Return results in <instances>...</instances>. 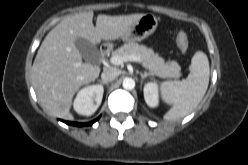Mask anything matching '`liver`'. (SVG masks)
Returning <instances> with one entry per match:
<instances>
[{
    "mask_svg": "<svg viewBox=\"0 0 248 165\" xmlns=\"http://www.w3.org/2000/svg\"><path fill=\"white\" fill-rule=\"evenodd\" d=\"M93 15L90 11L65 17L47 34L32 66V85L40 105L59 118H71L74 94L94 81L101 71L96 65L82 62L76 39L84 38L94 46L101 40H116L144 14L98 15L96 26Z\"/></svg>",
    "mask_w": 248,
    "mask_h": 165,
    "instance_id": "liver-1",
    "label": "liver"
}]
</instances>
